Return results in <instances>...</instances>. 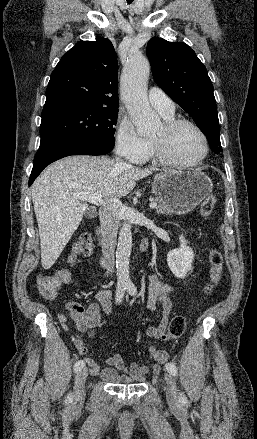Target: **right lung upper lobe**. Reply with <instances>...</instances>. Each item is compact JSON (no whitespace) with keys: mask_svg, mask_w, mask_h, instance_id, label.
<instances>
[{"mask_svg":"<svg viewBox=\"0 0 257 439\" xmlns=\"http://www.w3.org/2000/svg\"><path fill=\"white\" fill-rule=\"evenodd\" d=\"M118 61L106 38L80 42L62 56L51 74L42 118L93 107H118Z\"/></svg>","mask_w":257,"mask_h":439,"instance_id":"cb5924a9","label":"right lung upper lobe"}]
</instances>
